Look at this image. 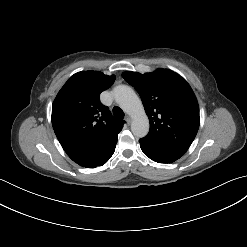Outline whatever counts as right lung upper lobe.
Here are the masks:
<instances>
[{
    "instance_id": "obj_1",
    "label": "right lung upper lobe",
    "mask_w": 247,
    "mask_h": 247,
    "mask_svg": "<svg viewBox=\"0 0 247 247\" xmlns=\"http://www.w3.org/2000/svg\"><path fill=\"white\" fill-rule=\"evenodd\" d=\"M115 76L82 71L71 76L52 106L54 132L68 156L80 166L93 161L102 148L117 137L124 121L111 116L99 101Z\"/></svg>"
}]
</instances>
